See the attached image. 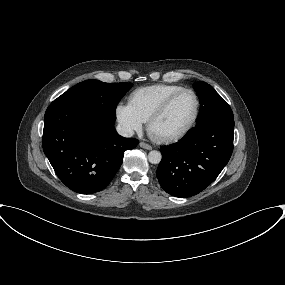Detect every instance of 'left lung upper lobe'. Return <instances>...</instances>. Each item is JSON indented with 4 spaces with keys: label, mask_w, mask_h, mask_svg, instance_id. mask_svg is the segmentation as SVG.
<instances>
[{
    "label": "left lung upper lobe",
    "mask_w": 285,
    "mask_h": 285,
    "mask_svg": "<svg viewBox=\"0 0 285 285\" xmlns=\"http://www.w3.org/2000/svg\"><path fill=\"white\" fill-rule=\"evenodd\" d=\"M193 86L199 96L200 102L197 123L214 117H233L230 106L211 85L203 81H198Z\"/></svg>",
    "instance_id": "1"
}]
</instances>
